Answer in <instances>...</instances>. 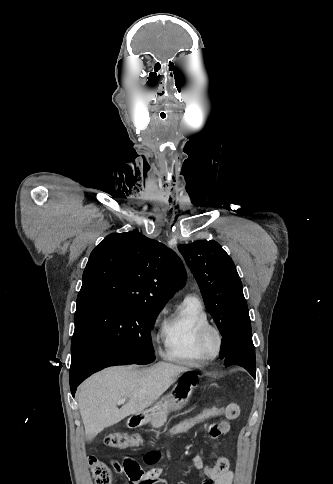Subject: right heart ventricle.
Listing matches in <instances>:
<instances>
[{"instance_id": "e07e8e85", "label": "right heart ventricle", "mask_w": 333, "mask_h": 484, "mask_svg": "<svg viewBox=\"0 0 333 484\" xmlns=\"http://www.w3.org/2000/svg\"><path fill=\"white\" fill-rule=\"evenodd\" d=\"M209 322V316L201 300L187 296L164 320L160 338L162 354L171 361L190 366H201L206 359L197 347L199 329Z\"/></svg>"}]
</instances>
